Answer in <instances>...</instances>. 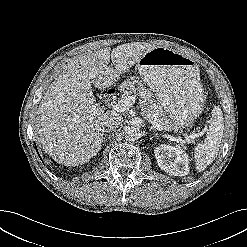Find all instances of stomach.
I'll use <instances>...</instances> for the list:
<instances>
[{"mask_svg":"<svg viewBox=\"0 0 247 247\" xmlns=\"http://www.w3.org/2000/svg\"><path fill=\"white\" fill-rule=\"evenodd\" d=\"M136 68L170 120V130L191 127L204 104L199 68L192 58L166 47H156L138 61Z\"/></svg>","mask_w":247,"mask_h":247,"instance_id":"1","label":"stomach"}]
</instances>
